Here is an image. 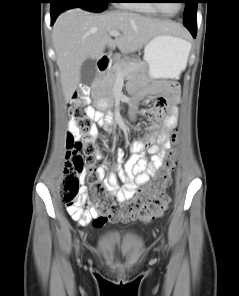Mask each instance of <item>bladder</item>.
<instances>
[{"label": "bladder", "mask_w": 239, "mask_h": 296, "mask_svg": "<svg viewBox=\"0 0 239 296\" xmlns=\"http://www.w3.org/2000/svg\"><path fill=\"white\" fill-rule=\"evenodd\" d=\"M136 238V234L127 230L106 231L99 236L98 246L109 253H114L125 241L130 239L135 241Z\"/></svg>", "instance_id": "31cf9c89"}]
</instances>
